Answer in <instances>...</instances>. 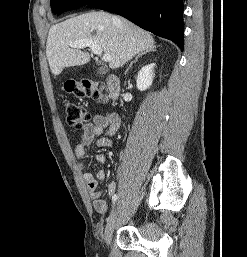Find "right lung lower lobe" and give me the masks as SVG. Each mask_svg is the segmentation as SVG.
I'll return each instance as SVG.
<instances>
[{
	"label": "right lung lower lobe",
	"mask_w": 247,
	"mask_h": 257,
	"mask_svg": "<svg viewBox=\"0 0 247 257\" xmlns=\"http://www.w3.org/2000/svg\"><path fill=\"white\" fill-rule=\"evenodd\" d=\"M87 7L121 15L183 50V0H94Z\"/></svg>",
	"instance_id": "98d812e1"
}]
</instances>
